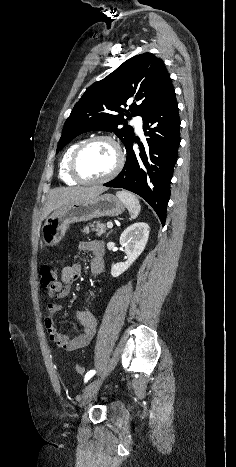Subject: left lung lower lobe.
<instances>
[{"label":"left lung lower lobe","mask_w":236,"mask_h":467,"mask_svg":"<svg viewBox=\"0 0 236 467\" xmlns=\"http://www.w3.org/2000/svg\"><path fill=\"white\" fill-rule=\"evenodd\" d=\"M180 118L172 86L162 99L143 116L147 136L135 154L134 138L125 146L127 160L121 173L104 186L124 188L144 198L156 211L164 226L170 198V182L180 144Z\"/></svg>","instance_id":"left-lung-lower-lobe-1"}]
</instances>
